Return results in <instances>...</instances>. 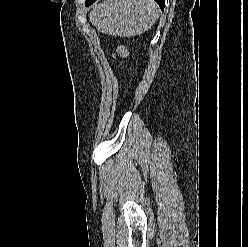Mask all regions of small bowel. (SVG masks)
Returning a JSON list of instances; mask_svg holds the SVG:
<instances>
[{
	"label": "small bowel",
	"mask_w": 248,
	"mask_h": 247,
	"mask_svg": "<svg viewBox=\"0 0 248 247\" xmlns=\"http://www.w3.org/2000/svg\"><path fill=\"white\" fill-rule=\"evenodd\" d=\"M117 54L120 57H126L127 56V50L124 47H120L117 50Z\"/></svg>",
	"instance_id": "obj_1"
}]
</instances>
